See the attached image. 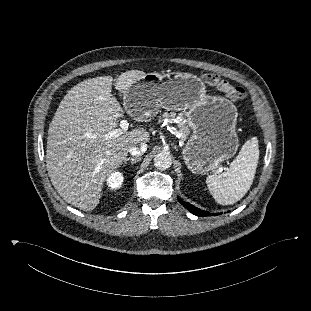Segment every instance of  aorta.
<instances>
[{
  "label": "aorta",
  "mask_w": 311,
  "mask_h": 311,
  "mask_svg": "<svg viewBox=\"0 0 311 311\" xmlns=\"http://www.w3.org/2000/svg\"><path fill=\"white\" fill-rule=\"evenodd\" d=\"M172 164L171 156L167 153H158L154 158V165L160 170L168 169Z\"/></svg>",
  "instance_id": "762f6f07"
}]
</instances>
